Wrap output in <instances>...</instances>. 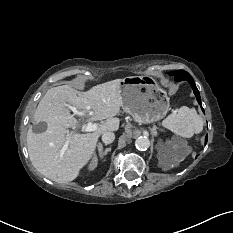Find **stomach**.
Instances as JSON below:
<instances>
[{
    "label": "stomach",
    "mask_w": 233,
    "mask_h": 233,
    "mask_svg": "<svg viewBox=\"0 0 233 233\" xmlns=\"http://www.w3.org/2000/svg\"><path fill=\"white\" fill-rule=\"evenodd\" d=\"M120 96L123 110L140 124L162 119L169 109L166 91L148 75L121 79Z\"/></svg>",
    "instance_id": "obj_1"
}]
</instances>
